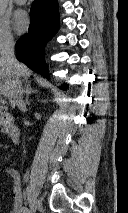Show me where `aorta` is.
Returning <instances> with one entry per match:
<instances>
[{
  "label": "aorta",
  "mask_w": 128,
  "mask_h": 213,
  "mask_svg": "<svg viewBox=\"0 0 128 213\" xmlns=\"http://www.w3.org/2000/svg\"><path fill=\"white\" fill-rule=\"evenodd\" d=\"M8 0H0V15L4 13Z\"/></svg>",
  "instance_id": "aorta-1"
}]
</instances>
